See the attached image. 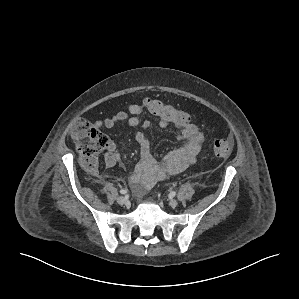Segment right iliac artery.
Instances as JSON below:
<instances>
[{"mask_svg": "<svg viewBox=\"0 0 299 299\" xmlns=\"http://www.w3.org/2000/svg\"><path fill=\"white\" fill-rule=\"evenodd\" d=\"M120 193H121V194H126V193H127V190H126V189H121V190H120Z\"/></svg>", "mask_w": 299, "mask_h": 299, "instance_id": "obj_1", "label": "right iliac artery"}]
</instances>
